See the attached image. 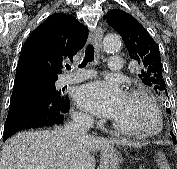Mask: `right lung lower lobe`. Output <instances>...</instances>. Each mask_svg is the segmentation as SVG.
I'll use <instances>...</instances> for the list:
<instances>
[{
    "label": "right lung lower lobe",
    "instance_id": "98d812e1",
    "mask_svg": "<svg viewBox=\"0 0 177 169\" xmlns=\"http://www.w3.org/2000/svg\"><path fill=\"white\" fill-rule=\"evenodd\" d=\"M56 80L38 74H16L3 141L22 129L63 122L70 102L67 96H56L48 91Z\"/></svg>",
    "mask_w": 177,
    "mask_h": 169
}]
</instances>
